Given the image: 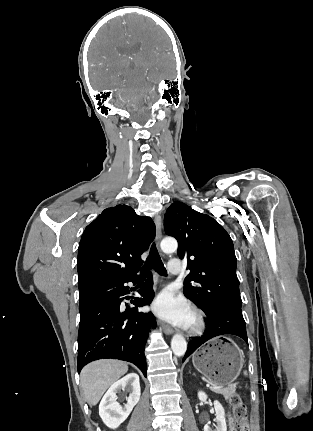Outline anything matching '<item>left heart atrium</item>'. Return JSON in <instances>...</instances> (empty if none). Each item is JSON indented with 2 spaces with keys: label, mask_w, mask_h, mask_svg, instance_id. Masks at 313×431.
Listing matches in <instances>:
<instances>
[{
  "label": "left heart atrium",
  "mask_w": 313,
  "mask_h": 431,
  "mask_svg": "<svg viewBox=\"0 0 313 431\" xmlns=\"http://www.w3.org/2000/svg\"><path fill=\"white\" fill-rule=\"evenodd\" d=\"M153 311L160 318L175 325L186 327L191 320V311L187 302L173 292H161L153 302Z\"/></svg>",
  "instance_id": "1"
}]
</instances>
